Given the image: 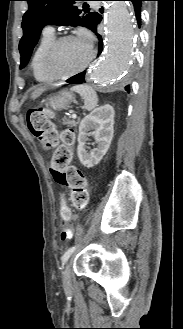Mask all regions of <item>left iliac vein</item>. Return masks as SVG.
I'll use <instances>...</instances> for the list:
<instances>
[{"label": "left iliac vein", "instance_id": "1", "mask_svg": "<svg viewBox=\"0 0 183 329\" xmlns=\"http://www.w3.org/2000/svg\"><path fill=\"white\" fill-rule=\"evenodd\" d=\"M71 266L72 260H69L63 272V287L66 292L71 290Z\"/></svg>", "mask_w": 183, "mask_h": 329}]
</instances>
